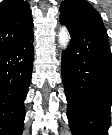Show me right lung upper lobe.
<instances>
[{"instance_id":"right-lung-upper-lobe-1","label":"right lung upper lobe","mask_w":112,"mask_h":135,"mask_svg":"<svg viewBox=\"0 0 112 135\" xmlns=\"http://www.w3.org/2000/svg\"><path fill=\"white\" fill-rule=\"evenodd\" d=\"M33 30L29 3L3 0L0 3V51L15 44Z\"/></svg>"}]
</instances>
